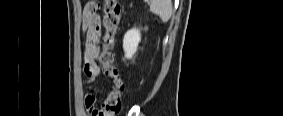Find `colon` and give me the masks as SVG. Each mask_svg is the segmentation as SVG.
I'll return each mask as SVG.
<instances>
[{"instance_id":"colon-1","label":"colon","mask_w":283,"mask_h":116,"mask_svg":"<svg viewBox=\"0 0 283 116\" xmlns=\"http://www.w3.org/2000/svg\"><path fill=\"white\" fill-rule=\"evenodd\" d=\"M104 27L105 34L102 40V51L99 56L104 75L110 80V91L97 111L102 116H115L121 110V95L125 89L122 75L115 64L113 49L115 37L121 23V6L118 0L104 1ZM97 111L91 113L95 115Z\"/></svg>"}]
</instances>
